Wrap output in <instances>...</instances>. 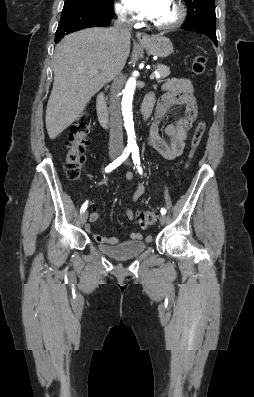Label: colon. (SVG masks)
<instances>
[{
	"label": "colon",
	"mask_w": 254,
	"mask_h": 397,
	"mask_svg": "<svg viewBox=\"0 0 254 397\" xmlns=\"http://www.w3.org/2000/svg\"><path fill=\"white\" fill-rule=\"evenodd\" d=\"M206 59L202 54H198L192 64L194 75H201L205 70ZM206 130V124L201 121L196 126L188 154L187 165L193 158ZM91 132V121L87 114L80 115L71 125L67 140L68 151L65 159V173L70 180L79 178L82 166L85 162V150L88 145L87 137ZM136 221L142 226L154 225L158 221V214L154 210L141 211L136 214Z\"/></svg>",
	"instance_id": "5ec220e1"
}]
</instances>
